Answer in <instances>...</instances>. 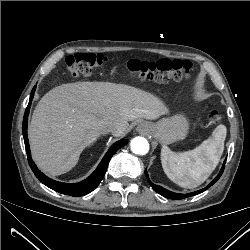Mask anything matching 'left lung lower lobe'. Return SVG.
Wrapping results in <instances>:
<instances>
[{
  "label": "left lung lower lobe",
  "mask_w": 250,
  "mask_h": 250,
  "mask_svg": "<svg viewBox=\"0 0 250 250\" xmlns=\"http://www.w3.org/2000/svg\"><path fill=\"white\" fill-rule=\"evenodd\" d=\"M226 161V160H225ZM224 166H225V162L223 163V166L219 172V174L215 177V179L208 185L206 186L205 188L201 189V190H198V191H195V192H192V193H188V194H179V193H174V192H171V191H168L166 190L165 188L161 187V186H157L155 184H153L149 177H148V173L147 171L145 170V175H146V178L149 182V184L151 185V187L157 192L159 193L160 195L166 197V198H169V199H175V200H179V199H184L186 197H191V196H194V195H197V194H200L202 192H204L205 190H207L210 186H212L219 178L220 176L222 175L223 173V170H224Z\"/></svg>",
  "instance_id": "0a47b994"
}]
</instances>
